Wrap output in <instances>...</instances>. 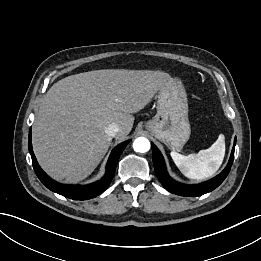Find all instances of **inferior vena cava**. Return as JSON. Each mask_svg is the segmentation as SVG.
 Returning a JSON list of instances; mask_svg holds the SVG:
<instances>
[{"label": "inferior vena cava", "instance_id": "1", "mask_svg": "<svg viewBox=\"0 0 261 261\" xmlns=\"http://www.w3.org/2000/svg\"><path fill=\"white\" fill-rule=\"evenodd\" d=\"M118 132H119V126L115 123L109 124L105 129V133L110 137H115Z\"/></svg>", "mask_w": 261, "mask_h": 261}]
</instances>
